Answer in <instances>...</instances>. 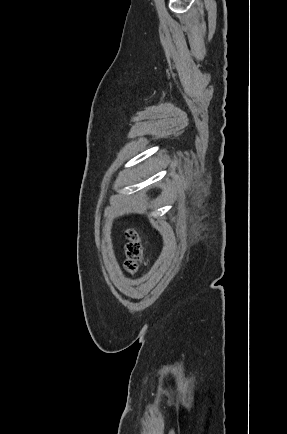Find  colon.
I'll use <instances>...</instances> for the list:
<instances>
[{
  "label": "colon",
  "instance_id": "colon-1",
  "mask_svg": "<svg viewBox=\"0 0 287 434\" xmlns=\"http://www.w3.org/2000/svg\"><path fill=\"white\" fill-rule=\"evenodd\" d=\"M126 238L127 243L125 246V268L129 273L134 274L139 269V263L143 255V246L139 239V235L133 229H130L126 232Z\"/></svg>",
  "mask_w": 287,
  "mask_h": 434
}]
</instances>
